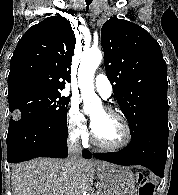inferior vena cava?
I'll return each instance as SVG.
<instances>
[{"mask_svg": "<svg viewBox=\"0 0 178 195\" xmlns=\"http://www.w3.org/2000/svg\"><path fill=\"white\" fill-rule=\"evenodd\" d=\"M69 158L68 164L73 171H76L81 161L82 147L79 138L70 137L68 140Z\"/></svg>", "mask_w": 178, "mask_h": 195, "instance_id": "obj_1", "label": "inferior vena cava"}]
</instances>
